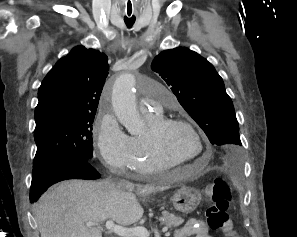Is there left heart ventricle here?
I'll use <instances>...</instances> for the list:
<instances>
[{
  "instance_id": "left-heart-ventricle-1",
  "label": "left heart ventricle",
  "mask_w": 297,
  "mask_h": 237,
  "mask_svg": "<svg viewBox=\"0 0 297 237\" xmlns=\"http://www.w3.org/2000/svg\"><path fill=\"white\" fill-rule=\"evenodd\" d=\"M161 142L170 154L182 159L196 157L200 149L196 138L182 126L165 129Z\"/></svg>"
}]
</instances>
